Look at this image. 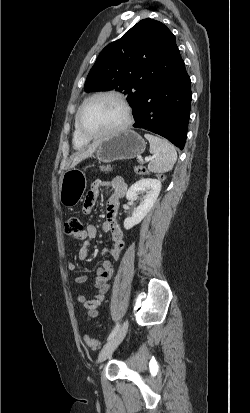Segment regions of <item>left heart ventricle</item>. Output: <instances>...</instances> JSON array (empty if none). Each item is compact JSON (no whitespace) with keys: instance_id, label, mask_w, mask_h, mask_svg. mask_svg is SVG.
Instances as JSON below:
<instances>
[{"instance_id":"obj_1","label":"left heart ventricle","mask_w":250,"mask_h":413,"mask_svg":"<svg viewBox=\"0 0 250 413\" xmlns=\"http://www.w3.org/2000/svg\"><path fill=\"white\" fill-rule=\"evenodd\" d=\"M125 120L123 106L112 97H98L87 104L82 114V127L91 134L110 131Z\"/></svg>"}]
</instances>
